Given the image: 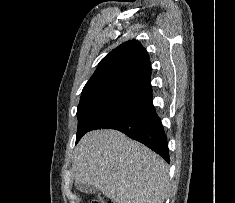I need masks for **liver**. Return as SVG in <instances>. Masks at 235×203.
Instances as JSON below:
<instances>
[{"mask_svg":"<svg viewBox=\"0 0 235 203\" xmlns=\"http://www.w3.org/2000/svg\"><path fill=\"white\" fill-rule=\"evenodd\" d=\"M76 183L92 185L117 203H163L169 186L166 162L116 130H94L78 143Z\"/></svg>","mask_w":235,"mask_h":203,"instance_id":"obj_1","label":"liver"}]
</instances>
